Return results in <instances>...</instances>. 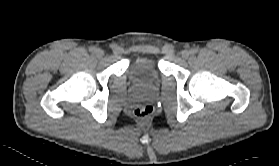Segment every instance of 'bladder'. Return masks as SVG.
<instances>
[{"label":"bladder","instance_id":"bladder-1","mask_svg":"<svg viewBox=\"0 0 279 166\" xmlns=\"http://www.w3.org/2000/svg\"><path fill=\"white\" fill-rule=\"evenodd\" d=\"M128 75L136 84L145 88H153L159 83L161 72L155 59L143 58L129 64Z\"/></svg>","mask_w":279,"mask_h":166}]
</instances>
